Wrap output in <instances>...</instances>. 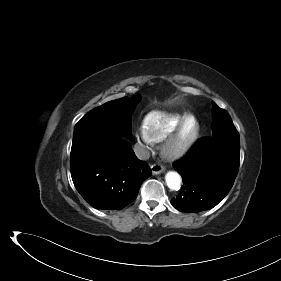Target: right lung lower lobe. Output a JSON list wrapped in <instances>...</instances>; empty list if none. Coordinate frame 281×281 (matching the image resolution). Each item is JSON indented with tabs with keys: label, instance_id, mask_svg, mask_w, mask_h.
Segmentation results:
<instances>
[{
	"label": "right lung lower lobe",
	"instance_id": "98d812e1",
	"mask_svg": "<svg viewBox=\"0 0 281 281\" xmlns=\"http://www.w3.org/2000/svg\"><path fill=\"white\" fill-rule=\"evenodd\" d=\"M70 168L77 191L100 210L126 207L151 176L147 163L140 161L130 144L116 133L72 143Z\"/></svg>",
	"mask_w": 281,
	"mask_h": 281
}]
</instances>
